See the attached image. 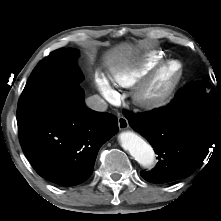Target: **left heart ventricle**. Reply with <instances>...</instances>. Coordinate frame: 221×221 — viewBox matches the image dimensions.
<instances>
[{
  "label": "left heart ventricle",
  "instance_id": "b2bd125f",
  "mask_svg": "<svg viewBox=\"0 0 221 221\" xmlns=\"http://www.w3.org/2000/svg\"><path fill=\"white\" fill-rule=\"evenodd\" d=\"M179 71V67L176 64L170 65L165 68L152 86V91L159 93L167 89L176 78Z\"/></svg>",
  "mask_w": 221,
  "mask_h": 221
}]
</instances>
